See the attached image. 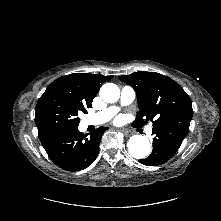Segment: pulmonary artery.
<instances>
[{
  "instance_id": "pulmonary-artery-1",
  "label": "pulmonary artery",
  "mask_w": 221,
  "mask_h": 221,
  "mask_svg": "<svg viewBox=\"0 0 221 221\" xmlns=\"http://www.w3.org/2000/svg\"><path fill=\"white\" fill-rule=\"evenodd\" d=\"M135 98V91L132 87L125 86L121 90L120 94V104L121 105H129L133 102ZM119 111L118 106H111L107 109L91 115L87 118L89 124L98 125L107 122L110 118H112ZM147 131L151 133L152 127H148Z\"/></svg>"
}]
</instances>
